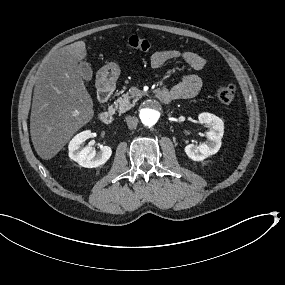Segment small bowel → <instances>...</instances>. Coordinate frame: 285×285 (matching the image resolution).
Segmentation results:
<instances>
[{"label":"small bowel","mask_w":285,"mask_h":285,"mask_svg":"<svg viewBox=\"0 0 285 285\" xmlns=\"http://www.w3.org/2000/svg\"><path fill=\"white\" fill-rule=\"evenodd\" d=\"M170 60H181L198 72L203 71L207 64V61L199 54L177 49L154 52L150 57V64L152 68L158 69ZM202 84L203 81L199 74H188L169 91L172 93L173 99H191L199 94Z\"/></svg>","instance_id":"1"}]
</instances>
